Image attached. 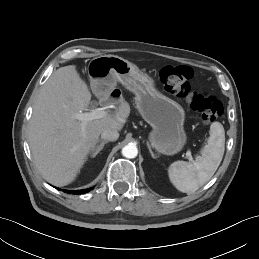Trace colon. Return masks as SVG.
I'll use <instances>...</instances> for the list:
<instances>
[{
  "label": "colon",
  "instance_id": "1",
  "mask_svg": "<svg viewBox=\"0 0 259 259\" xmlns=\"http://www.w3.org/2000/svg\"><path fill=\"white\" fill-rule=\"evenodd\" d=\"M192 77V69L183 65H168L159 71L160 83L168 93L185 99L204 123H213L222 115V103L215 97L193 91L190 84Z\"/></svg>",
  "mask_w": 259,
  "mask_h": 259
}]
</instances>
